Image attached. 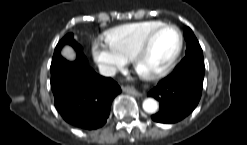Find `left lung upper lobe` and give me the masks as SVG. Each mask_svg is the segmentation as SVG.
<instances>
[{
  "label": "left lung upper lobe",
  "instance_id": "left-lung-upper-lobe-1",
  "mask_svg": "<svg viewBox=\"0 0 247 145\" xmlns=\"http://www.w3.org/2000/svg\"><path fill=\"white\" fill-rule=\"evenodd\" d=\"M184 38L187 41V50L185 56L194 54L203 55L201 46L189 27H185L184 29Z\"/></svg>",
  "mask_w": 247,
  "mask_h": 145
}]
</instances>
